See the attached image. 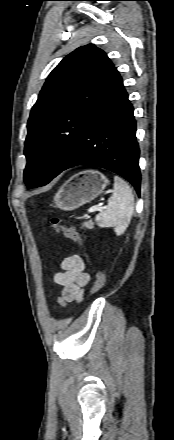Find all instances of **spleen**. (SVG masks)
<instances>
[{
    "label": "spleen",
    "instance_id": "1",
    "mask_svg": "<svg viewBox=\"0 0 174 440\" xmlns=\"http://www.w3.org/2000/svg\"><path fill=\"white\" fill-rule=\"evenodd\" d=\"M134 212V196L127 182L114 177V191L108 199L107 207L96 216L100 227H113L116 235H121L127 229Z\"/></svg>",
    "mask_w": 174,
    "mask_h": 440
}]
</instances>
